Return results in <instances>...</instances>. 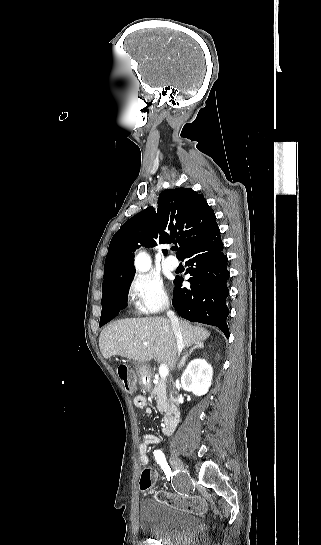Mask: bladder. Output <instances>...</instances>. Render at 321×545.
<instances>
[{
  "label": "bladder",
  "instance_id": "31cf9c89",
  "mask_svg": "<svg viewBox=\"0 0 321 545\" xmlns=\"http://www.w3.org/2000/svg\"><path fill=\"white\" fill-rule=\"evenodd\" d=\"M138 524L143 534L163 545H190L202 530L197 514L168 505L157 497L140 502Z\"/></svg>",
  "mask_w": 321,
  "mask_h": 545
}]
</instances>
